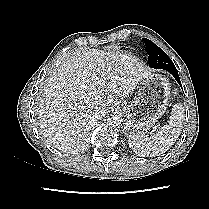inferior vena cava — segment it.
I'll return each instance as SVG.
<instances>
[{
  "label": "inferior vena cava",
  "instance_id": "602c4592",
  "mask_svg": "<svg viewBox=\"0 0 209 209\" xmlns=\"http://www.w3.org/2000/svg\"><path fill=\"white\" fill-rule=\"evenodd\" d=\"M94 118H95V121H100V111H95Z\"/></svg>",
  "mask_w": 209,
  "mask_h": 209
}]
</instances>
